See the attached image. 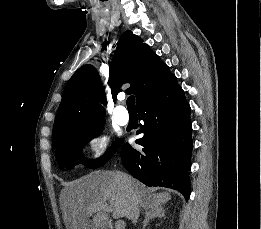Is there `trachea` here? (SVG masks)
<instances>
[{"label": "trachea", "mask_w": 261, "mask_h": 229, "mask_svg": "<svg viewBox=\"0 0 261 229\" xmlns=\"http://www.w3.org/2000/svg\"><path fill=\"white\" fill-rule=\"evenodd\" d=\"M127 108L129 112H136L135 97L133 95L127 99Z\"/></svg>", "instance_id": "trachea-1"}]
</instances>
